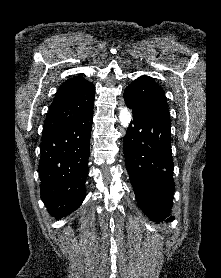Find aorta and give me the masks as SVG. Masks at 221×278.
Segmentation results:
<instances>
[{"label":"aorta","mask_w":221,"mask_h":278,"mask_svg":"<svg viewBox=\"0 0 221 278\" xmlns=\"http://www.w3.org/2000/svg\"><path fill=\"white\" fill-rule=\"evenodd\" d=\"M131 112L127 108H122L119 113V120L123 127H128L131 122Z\"/></svg>","instance_id":"1"}]
</instances>
